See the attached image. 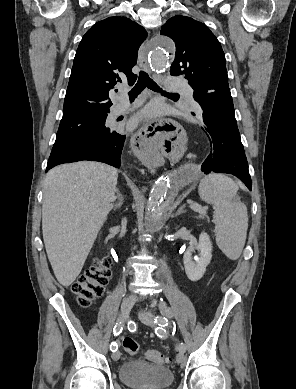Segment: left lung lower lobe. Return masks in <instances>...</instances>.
<instances>
[{
	"instance_id": "obj_1",
	"label": "left lung lower lobe",
	"mask_w": 296,
	"mask_h": 389,
	"mask_svg": "<svg viewBox=\"0 0 296 389\" xmlns=\"http://www.w3.org/2000/svg\"><path fill=\"white\" fill-rule=\"evenodd\" d=\"M204 97V103L200 106L210 151L201 170L206 174H232L251 190L248 162L241 143L230 90L207 93Z\"/></svg>"
}]
</instances>
